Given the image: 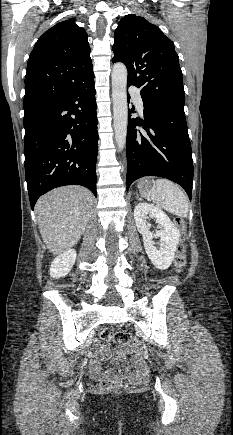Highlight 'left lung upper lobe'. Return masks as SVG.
I'll return each instance as SVG.
<instances>
[{
    "instance_id": "obj_1",
    "label": "left lung upper lobe",
    "mask_w": 233,
    "mask_h": 435,
    "mask_svg": "<svg viewBox=\"0 0 233 435\" xmlns=\"http://www.w3.org/2000/svg\"><path fill=\"white\" fill-rule=\"evenodd\" d=\"M112 62L128 69L127 85L140 88L144 102L184 110L185 92L173 42L146 19L123 17L114 34Z\"/></svg>"
}]
</instances>
